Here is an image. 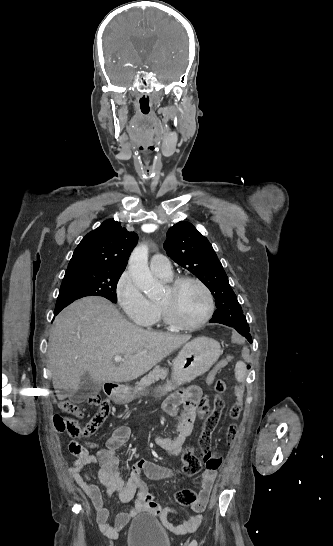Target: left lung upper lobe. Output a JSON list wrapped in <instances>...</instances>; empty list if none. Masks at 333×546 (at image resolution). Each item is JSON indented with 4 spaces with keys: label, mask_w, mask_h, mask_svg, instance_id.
<instances>
[{
    "label": "left lung upper lobe",
    "mask_w": 333,
    "mask_h": 546,
    "mask_svg": "<svg viewBox=\"0 0 333 546\" xmlns=\"http://www.w3.org/2000/svg\"><path fill=\"white\" fill-rule=\"evenodd\" d=\"M163 247L172 260L209 288L217 307L212 318L232 327L247 323L212 245L191 223L182 221L171 227Z\"/></svg>",
    "instance_id": "1"
}]
</instances>
